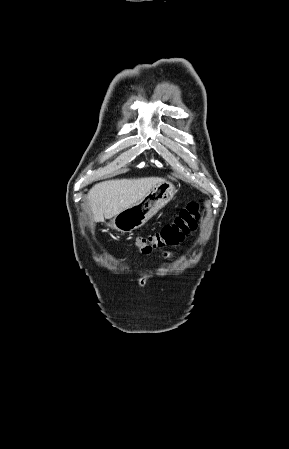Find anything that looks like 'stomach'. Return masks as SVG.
Masks as SVG:
<instances>
[{"label": "stomach", "instance_id": "stomach-1", "mask_svg": "<svg viewBox=\"0 0 289 449\" xmlns=\"http://www.w3.org/2000/svg\"><path fill=\"white\" fill-rule=\"evenodd\" d=\"M176 192L172 182L158 183L141 200L114 216L109 227L122 233L140 228L170 202Z\"/></svg>", "mask_w": 289, "mask_h": 449}]
</instances>
